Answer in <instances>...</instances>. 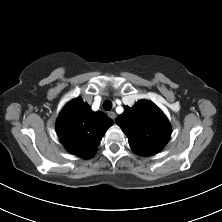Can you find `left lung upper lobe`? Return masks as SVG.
Masks as SVG:
<instances>
[{
	"label": "left lung upper lobe",
	"instance_id": "1",
	"mask_svg": "<svg viewBox=\"0 0 222 222\" xmlns=\"http://www.w3.org/2000/svg\"><path fill=\"white\" fill-rule=\"evenodd\" d=\"M116 123L127 135L131 149L138 155L151 156L167 144L170 125L163 112L147 100L126 106Z\"/></svg>",
	"mask_w": 222,
	"mask_h": 222
}]
</instances>
